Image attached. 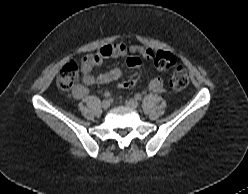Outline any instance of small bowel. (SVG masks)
Returning <instances> with one entry per match:
<instances>
[{
	"mask_svg": "<svg viewBox=\"0 0 248 194\" xmlns=\"http://www.w3.org/2000/svg\"><path fill=\"white\" fill-rule=\"evenodd\" d=\"M125 55L141 56L145 58L154 57L155 52L149 48H143L138 45L115 44L105 45L96 54H88L81 61L82 83L77 84L72 94L76 99H83L88 95L87 86L94 84H108L117 81L122 76V71L119 67L100 73L98 76L92 74V70L99 66L106 58H118ZM128 64L132 67H137L139 64L138 58H130ZM136 80V79H135ZM132 84L129 88H132ZM149 88L155 93L165 91L163 80L159 77L152 79L149 83Z\"/></svg>",
	"mask_w": 248,
	"mask_h": 194,
	"instance_id": "small-bowel-1",
	"label": "small bowel"
}]
</instances>
